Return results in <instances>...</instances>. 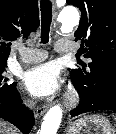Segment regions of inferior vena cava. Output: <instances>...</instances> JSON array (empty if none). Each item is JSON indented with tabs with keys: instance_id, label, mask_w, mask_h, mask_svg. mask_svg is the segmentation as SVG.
I'll return each instance as SVG.
<instances>
[{
	"instance_id": "1",
	"label": "inferior vena cava",
	"mask_w": 116,
	"mask_h": 134,
	"mask_svg": "<svg viewBox=\"0 0 116 134\" xmlns=\"http://www.w3.org/2000/svg\"><path fill=\"white\" fill-rule=\"evenodd\" d=\"M34 104H35V103H34V102H32V103H31V106H34Z\"/></svg>"
}]
</instances>
